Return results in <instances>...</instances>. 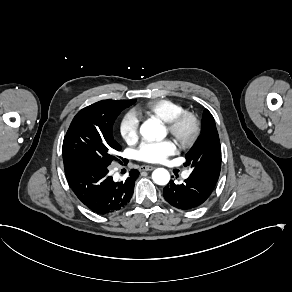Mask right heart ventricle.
<instances>
[{
    "mask_svg": "<svg viewBox=\"0 0 292 292\" xmlns=\"http://www.w3.org/2000/svg\"><path fill=\"white\" fill-rule=\"evenodd\" d=\"M140 111L152 114L159 117L163 122L168 123L171 121L178 113L183 111L180 104L170 100V99H154L146 102Z\"/></svg>",
    "mask_w": 292,
    "mask_h": 292,
    "instance_id": "e07e8e85",
    "label": "right heart ventricle"
}]
</instances>
